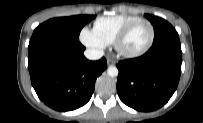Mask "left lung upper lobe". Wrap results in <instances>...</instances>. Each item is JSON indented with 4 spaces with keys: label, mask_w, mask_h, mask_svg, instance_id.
Wrapping results in <instances>:
<instances>
[{
    "label": "left lung upper lobe",
    "mask_w": 203,
    "mask_h": 123,
    "mask_svg": "<svg viewBox=\"0 0 203 123\" xmlns=\"http://www.w3.org/2000/svg\"><path fill=\"white\" fill-rule=\"evenodd\" d=\"M145 17L152 23L155 30L153 44L171 35H178L175 28L166 20L149 14H146Z\"/></svg>",
    "instance_id": "5c2ea615"
}]
</instances>
